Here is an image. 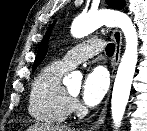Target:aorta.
I'll return each mask as SVG.
<instances>
[{
  "instance_id": "aorta-1",
  "label": "aorta",
  "mask_w": 147,
  "mask_h": 131,
  "mask_svg": "<svg viewBox=\"0 0 147 131\" xmlns=\"http://www.w3.org/2000/svg\"><path fill=\"white\" fill-rule=\"evenodd\" d=\"M103 25L121 28L126 41L125 52L118 67L111 99L112 119L115 128H118L125 113L138 61V36L132 20L126 14L113 10H100L76 17L71 26V33L74 37L81 38ZM81 80L82 74L74 71L64 78V84L70 85L73 81L80 83Z\"/></svg>"
}]
</instances>
